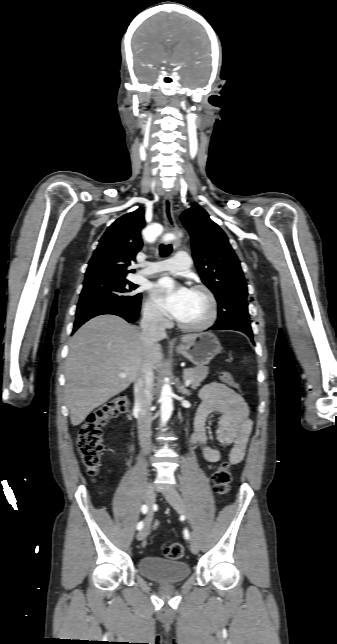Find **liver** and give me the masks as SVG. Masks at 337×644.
<instances>
[{"label":"liver","mask_w":337,"mask_h":644,"mask_svg":"<svg viewBox=\"0 0 337 644\" xmlns=\"http://www.w3.org/2000/svg\"><path fill=\"white\" fill-rule=\"evenodd\" d=\"M195 337L185 335L181 342H192ZM160 359L156 341L147 346L139 329L124 319L101 315L86 322L71 338L65 363L72 425L81 424L95 408L136 382L145 364L153 373ZM121 373L127 377H120Z\"/></svg>","instance_id":"1"}]
</instances>
